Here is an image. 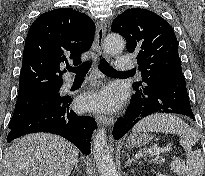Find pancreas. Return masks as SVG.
Segmentation results:
<instances>
[{"instance_id": "obj_1", "label": "pancreas", "mask_w": 205, "mask_h": 176, "mask_svg": "<svg viewBox=\"0 0 205 176\" xmlns=\"http://www.w3.org/2000/svg\"><path fill=\"white\" fill-rule=\"evenodd\" d=\"M165 159L162 156L157 155L154 159L151 160L154 164H162L164 163Z\"/></svg>"}]
</instances>
